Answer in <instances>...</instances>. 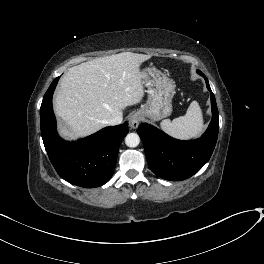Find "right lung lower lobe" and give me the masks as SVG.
Listing matches in <instances>:
<instances>
[{"label": "right lung lower lobe", "instance_id": "obj_1", "mask_svg": "<svg viewBox=\"0 0 264 264\" xmlns=\"http://www.w3.org/2000/svg\"><path fill=\"white\" fill-rule=\"evenodd\" d=\"M58 80L59 77L51 83L40 108L41 135L45 149L61 178L80 187H99L113 175L118 150L128 133V125L124 122L103 128L78 141H64L56 131L52 107V95Z\"/></svg>", "mask_w": 264, "mask_h": 264}]
</instances>
